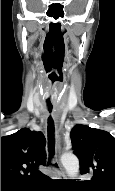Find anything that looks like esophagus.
Here are the masks:
<instances>
[{
    "label": "esophagus",
    "mask_w": 115,
    "mask_h": 191,
    "mask_svg": "<svg viewBox=\"0 0 115 191\" xmlns=\"http://www.w3.org/2000/svg\"><path fill=\"white\" fill-rule=\"evenodd\" d=\"M56 139H57V149L59 150L60 144H59V135L58 134L56 135ZM55 172L59 179H64L66 177L65 172L61 166H59V168H56Z\"/></svg>",
    "instance_id": "34e87169"
}]
</instances>
